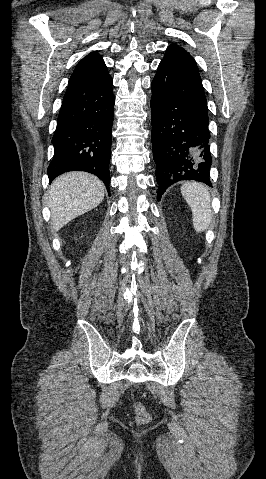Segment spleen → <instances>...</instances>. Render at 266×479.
I'll return each mask as SVG.
<instances>
[{"instance_id": "1", "label": "spleen", "mask_w": 266, "mask_h": 479, "mask_svg": "<svg viewBox=\"0 0 266 479\" xmlns=\"http://www.w3.org/2000/svg\"><path fill=\"white\" fill-rule=\"evenodd\" d=\"M181 194L191 208L195 231L204 232L212 220L211 196L208 188L202 183L188 181L181 186Z\"/></svg>"}]
</instances>
